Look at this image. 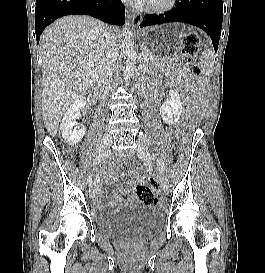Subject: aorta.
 Masks as SVG:
<instances>
[{"label": "aorta", "mask_w": 265, "mask_h": 273, "mask_svg": "<svg viewBox=\"0 0 265 273\" xmlns=\"http://www.w3.org/2000/svg\"><path fill=\"white\" fill-rule=\"evenodd\" d=\"M131 23L130 21L125 22L122 35V55L124 57V69L123 75L125 79L130 78L135 70L136 66V53L134 49V41L132 38V31L130 29Z\"/></svg>", "instance_id": "obj_1"}]
</instances>
